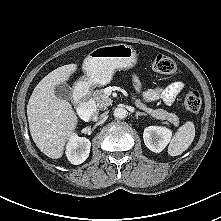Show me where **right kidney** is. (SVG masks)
<instances>
[{"instance_id": "1", "label": "right kidney", "mask_w": 221, "mask_h": 221, "mask_svg": "<svg viewBox=\"0 0 221 221\" xmlns=\"http://www.w3.org/2000/svg\"><path fill=\"white\" fill-rule=\"evenodd\" d=\"M91 142L85 137L72 135L66 147V156L74 164H82L89 156Z\"/></svg>"}]
</instances>
